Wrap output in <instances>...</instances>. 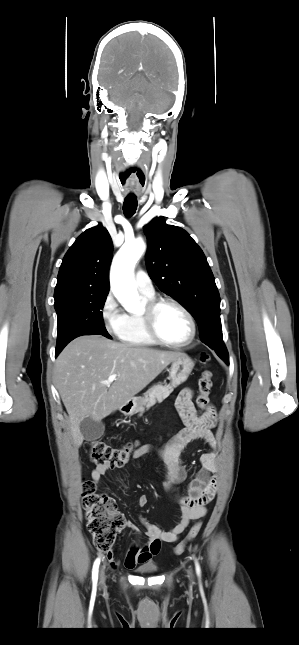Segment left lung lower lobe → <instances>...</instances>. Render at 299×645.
<instances>
[{"label": "left lung lower lobe", "mask_w": 299, "mask_h": 645, "mask_svg": "<svg viewBox=\"0 0 299 645\" xmlns=\"http://www.w3.org/2000/svg\"><path fill=\"white\" fill-rule=\"evenodd\" d=\"M225 362H226V363H229V360L227 359V360H225Z\"/></svg>", "instance_id": "left-lung-lower-lobe-1"}]
</instances>
